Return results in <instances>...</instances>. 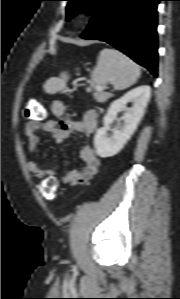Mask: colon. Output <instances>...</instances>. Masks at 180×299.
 Instances as JSON below:
<instances>
[{"mask_svg": "<svg viewBox=\"0 0 180 299\" xmlns=\"http://www.w3.org/2000/svg\"><path fill=\"white\" fill-rule=\"evenodd\" d=\"M49 88V85H47ZM27 118L30 120L42 121L47 116L45 107L37 100H30L27 104ZM38 188L46 199H54L58 194V182L53 177H47L43 179L39 184Z\"/></svg>", "mask_w": 180, "mask_h": 299, "instance_id": "5ec220e1", "label": "colon"}]
</instances>
